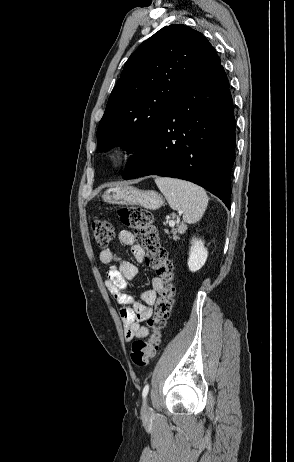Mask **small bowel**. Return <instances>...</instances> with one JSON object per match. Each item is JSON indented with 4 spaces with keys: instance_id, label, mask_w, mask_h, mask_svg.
<instances>
[{
    "instance_id": "c3829d8e",
    "label": "small bowel",
    "mask_w": 294,
    "mask_h": 462,
    "mask_svg": "<svg viewBox=\"0 0 294 462\" xmlns=\"http://www.w3.org/2000/svg\"><path fill=\"white\" fill-rule=\"evenodd\" d=\"M120 241L131 246V252L137 261H142L143 251L135 244V236L127 230L119 233ZM99 259L103 264L110 265L107 272L105 285L109 293L117 300L120 308V316L123 324L124 337L127 341L141 339L149 334V327L141 323L151 318L152 306L157 300L158 292L163 288L164 281L154 276L151 279V289L141 293V300H137L132 292L130 281L137 275V267L120 259L112 250L103 249L99 253Z\"/></svg>"
}]
</instances>
